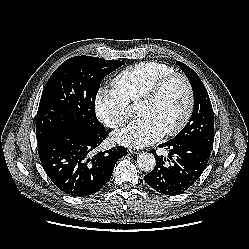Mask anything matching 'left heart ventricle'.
<instances>
[{
	"instance_id": "1",
	"label": "left heart ventricle",
	"mask_w": 249,
	"mask_h": 249,
	"mask_svg": "<svg viewBox=\"0 0 249 249\" xmlns=\"http://www.w3.org/2000/svg\"><path fill=\"white\" fill-rule=\"evenodd\" d=\"M186 90L181 80L168 82L158 97L151 102H139L138 116L153 118L166 131L175 126L182 118L186 108Z\"/></svg>"
}]
</instances>
